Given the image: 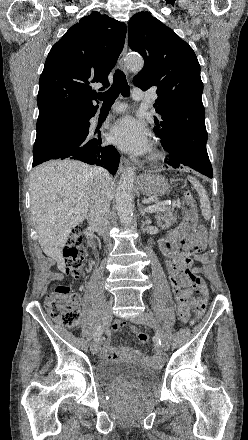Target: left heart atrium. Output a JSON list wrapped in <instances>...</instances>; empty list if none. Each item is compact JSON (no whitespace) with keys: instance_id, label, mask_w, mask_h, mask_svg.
<instances>
[{"instance_id":"1","label":"left heart atrium","mask_w":248,"mask_h":440,"mask_svg":"<svg viewBox=\"0 0 248 440\" xmlns=\"http://www.w3.org/2000/svg\"><path fill=\"white\" fill-rule=\"evenodd\" d=\"M111 140L121 150L132 155H141L150 150L148 130L131 116H125L114 124Z\"/></svg>"}]
</instances>
